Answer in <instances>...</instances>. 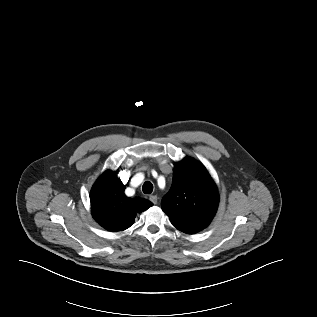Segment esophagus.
Returning <instances> with one entry per match:
<instances>
[{
  "label": "esophagus",
  "mask_w": 317,
  "mask_h": 317,
  "mask_svg": "<svg viewBox=\"0 0 317 317\" xmlns=\"http://www.w3.org/2000/svg\"><path fill=\"white\" fill-rule=\"evenodd\" d=\"M149 200L152 201L154 204H157L158 197L157 195H150Z\"/></svg>",
  "instance_id": "1"
}]
</instances>
